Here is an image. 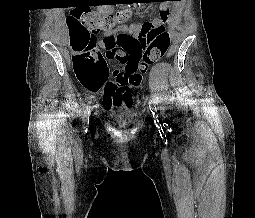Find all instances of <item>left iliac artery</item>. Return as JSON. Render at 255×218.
I'll return each mask as SVG.
<instances>
[{
  "instance_id": "obj_1",
  "label": "left iliac artery",
  "mask_w": 255,
  "mask_h": 218,
  "mask_svg": "<svg viewBox=\"0 0 255 218\" xmlns=\"http://www.w3.org/2000/svg\"><path fill=\"white\" fill-rule=\"evenodd\" d=\"M149 107H150V110H151V112L153 113V115H155L156 112H157V108H156V106L154 105V103H153V102H150V103H149Z\"/></svg>"
}]
</instances>
